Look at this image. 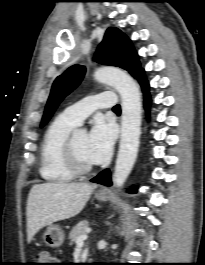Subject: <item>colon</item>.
Segmentation results:
<instances>
[{
	"mask_svg": "<svg viewBox=\"0 0 205 265\" xmlns=\"http://www.w3.org/2000/svg\"><path fill=\"white\" fill-rule=\"evenodd\" d=\"M37 259H38V263L39 265H53L55 261V257L52 256L49 252L47 251H41L38 256H37Z\"/></svg>",
	"mask_w": 205,
	"mask_h": 265,
	"instance_id": "obj_1",
	"label": "colon"
}]
</instances>
